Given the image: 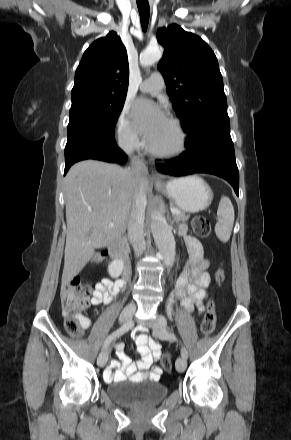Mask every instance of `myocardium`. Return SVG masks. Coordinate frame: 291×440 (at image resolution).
<instances>
[{
    "instance_id": "f54148a6",
    "label": "myocardium",
    "mask_w": 291,
    "mask_h": 440,
    "mask_svg": "<svg viewBox=\"0 0 291 440\" xmlns=\"http://www.w3.org/2000/svg\"><path fill=\"white\" fill-rule=\"evenodd\" d=\"M168 121L170 122L173 130L175 131V133L177 135L176 146L171 150H160V149H157L154 146H152L150 144V142L146 143V147H147L148 152L151 155H153L157 158H160V159L177 158V157L181 156L186 149L187 136H186V133H185L183 127L181 126L179 121L175 118L170 117L168 119Z\"/></svg>"
}]
</instances>
